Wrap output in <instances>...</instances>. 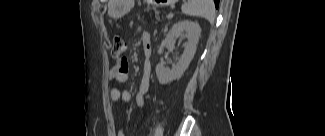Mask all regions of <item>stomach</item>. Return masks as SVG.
Masks as SVG:
<instances>
[{
	"label": "stomach",
	"instance_id": "stomach-1",
	"mask_svg": "<svg viewBox=\"0 0 325 136\" xmlns=\"http://www.w3.org/2000/svg\"><path fill=\"white\" fill-rule=\"evenodd\" d=\"M148 2L157 7H166L173 5L176 0H148ZM132 6L131 0H113L112 14L116 18L121 17L128 13Z\"/></svg>",
	"mask_w": 325,
	"mask_h": 136
}]
</instances>
